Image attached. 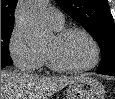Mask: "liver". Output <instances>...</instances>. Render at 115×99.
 <instances>
[{
  "label": "liver",
  "instance_id": "liver-1",
  "mask_svg": "<svg viewBox=\"0 0 115 99\" xmlns=\"http://www.w3.org/2000/svg\"><path fill=\"white\" fill-rule=\"evenodd\" d=\"M79 77H43L1 70V99H49Z\"/></svg>",
  "mask_w": 115,
  "mask_h": 99
}]
</instances>
